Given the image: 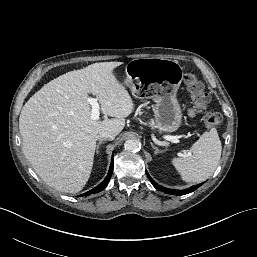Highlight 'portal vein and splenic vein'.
<instances>
[{"label":"portal vein and splenic vein","mask_w":257,"mask_h":257,"mask_svg":"<svg viewBox=\"0 0 257 257\" xmlns=\"http://www.w3.org/2000/svg\"><path fill=\"white\" fill-rule=\"evenodd\" d=\"M88 102L91 105L92 109H91V118L94 120L99 119V115H100V105L97 101L96 98H88ZM168 140L172 141V142H177V137L175 136H170L168 137Z\"/></svg>","instance_id":"1"}]
</instances>
